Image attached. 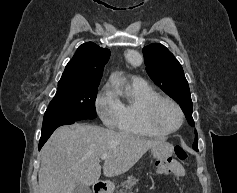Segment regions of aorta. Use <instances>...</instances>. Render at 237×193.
I'll use <instances>...</instances> for the list:
<instances>
[{
  "label": "aorta",
  "instance_id": "762f6f07",
  "mask_svg": "<svg viewBox=\"0 0 237 193\" xmlns=\"http://www.w3.org/2000/svg\"><path fill=\"white\" fill-rule=\"evenodd\" d=\"M110 80H111V82L114 83V84L117 83L118 80H117L116 74H112L111 77H110Z\"/></svg>",
  "mask_w": 237,
  "mask_h": 193
}]
</instances>
